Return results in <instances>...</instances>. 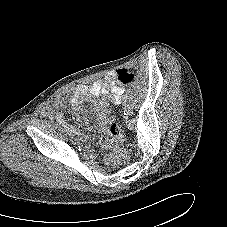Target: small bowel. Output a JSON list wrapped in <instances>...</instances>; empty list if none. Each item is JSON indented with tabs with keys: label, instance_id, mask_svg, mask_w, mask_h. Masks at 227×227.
Wrapping results in <instances>:
<instances>
[{
	"label": "small bowel",
	"instance_id": "obj_1",
	"mask_svg": "<svg viewBox=\"0 0 227 227\" xmlns=\"http://www.w3.org/2000/svg\"><path fill=\"white\" fill-rule=\"evenodd\" d=\"M119 71V70H118ZM118 71H111L106 74V76L101 79L94 81L91 84H79L77 85L69 98L65 97H56L49 104H47L43 110L42 114L46 118H51L54 115L61 116L59 110L64 107L66 103H70L72 108L76 111L79 109L80 104L82 103L84 97L90 96L95 99L102 98L104 96L109 95L111 101L115 104L120 103V99L124 97L125 87H119L117 85V73ZM100 117L107 123L108 117L106 115V111H102L96 108ZM75 120H79V117L76 115ZM80 139L84 142L90 141V136L88 133H82L80 135Z\"/></svg>",
	"mask_w": 227,
	"mask_h": 227
}]
</instances>
